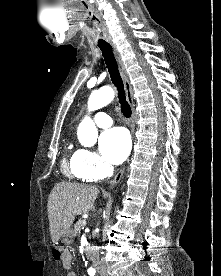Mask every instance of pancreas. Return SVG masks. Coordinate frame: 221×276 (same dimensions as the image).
<instances>
[{
  "label": "pancreas",
  "instance_id": "pancreas-1",
  "mask_svg": "<svg viewBox=\"0 0 221 276\" xmlns=\"http://www.w3.org/2000/svg\"><path fill=\"white\" fill-rule=\"evenodd\" d=\"M83 226H84L83 221L78 220V222L74 225L75 234H79L81 232V229H82Z\"/></svg>",
  "mask_w": 221,
  "mask_h": 276
}]
</instances>
